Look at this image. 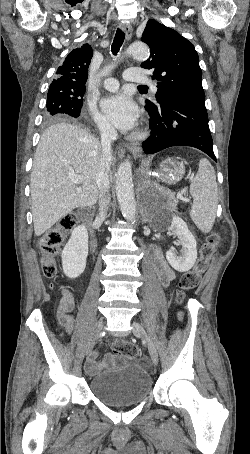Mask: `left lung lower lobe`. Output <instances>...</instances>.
<instances>
[{"instance_id": "left-lung-lower-lobe-1", "label": "left lung lower lobe", "mask_w": 250, "mask_h": 454, "mask_svg": "<svg viewBox=\"0 0 250 454\" xmlns=\"http://www.w3.org/2000/svg\"><path fill=\"white\" fill-rule=\"evenodd\" d=\"M145 108L151 117L152 130L143 143L146 154L172 146H191L216 161L204 100H170L156 108Z\"/></svg>"}]
</instances>
